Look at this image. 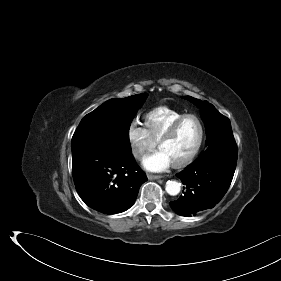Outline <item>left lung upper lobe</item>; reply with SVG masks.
<instances>
[{
  "label": "left lung upper lobe",
  "instance_id": "1",
  "mask_svg": "<svg viewBox=\"0 0 281 281\" xmlns=\"http://www.w3.org/2000/svg\"><path fill=\"white\" fill-rule=\"evenodd\" d=\"M188 100L201 106L202 118L207 133V152L237 151L230 120L219 113L207 101L187 96Z\"/></svg>",
  "mask_w": 281,
  "mask_h": 281
}]
</instances>
